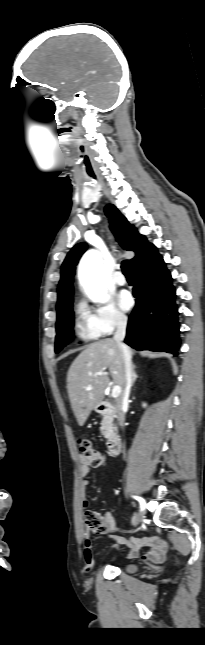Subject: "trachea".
<instances>
[{
	"label": "trachea",
	"mask_w": 205,
	"mask_h": 645,
	"mask_svg": "<svg viewBox=\"0 0 205 645\" xmlns=\"http://www.w3.org/2000/svg\"><path fill=\"white\" fill-rule=\"evenodd\" d=\"M121 268L125 276H133L132 263L129 260L122 261Z\"/></svg>",
	"instance_id": "obj_1"
}]
</instances>
